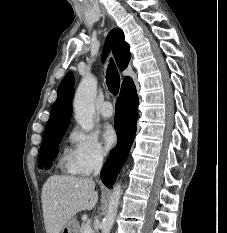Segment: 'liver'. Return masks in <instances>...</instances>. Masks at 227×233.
<instances>
[{
	"label": "liver",
	"instance_id": "6515ba94",
	"mask_svg": "<svg viewBox=\"0 0 227 233\" xmlns=\"http://www.w3.org/2000/svg\"><path fill=\"white\" fill-rule=\"evenodd\" d=\"M41 200L46 233H60L78 212L95 207L98 192L91 178L53 175L43 185Z\"/></svg>",
	"mask_w": 227,
	"mask_h": 233
}]
</instances>
